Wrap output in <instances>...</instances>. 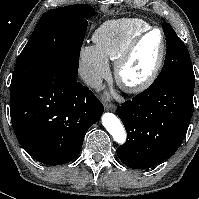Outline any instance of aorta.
<instances>
[{
  "label": "aorta",
  "mask_w": 199,
  "mask_h": 199,
  "mask_svg": "<svg viewBox=\"0 0 199 199\" xmlns=\"http://www.w3.org/2000/svg\"><path fill=\"white\" fill-rule=\"evenodd\" d=\"M102 124L106 128V130L112 135L114 141L121 145L125 143L126 131L116 115L112 113L103 114Z\"/></svg>",
  "instance_id": "obj_1"
}]
</instances>
